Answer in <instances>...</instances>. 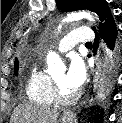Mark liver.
Returning a JSON list of instances; mask_svg holds the SVG:
<instances>
[{
    "instance_id": "obj_1",
    "label": "liver",
    "mask_w": 122,
    "mask_h": 123,
    "mask_svg": "<svg viewBox=\"0 0 122 123\" xmlns=\"http://www.w3.org/2000/svg\"><path fill=\"white\" fill-rule=\"evenodd\" d=\"M59 112L57 108L21 104L11 117V123H57Z\"/></svg>"
}]
</instances>
